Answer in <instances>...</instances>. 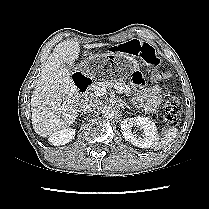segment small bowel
<instances>
[{
	"label": "small bowel",
	"mask_w": 209,
	"mask_h": 209,
	"mask_svg": "<svg viewBox=\"0 0 209 209\" xmlns=\"http://www.w3.org/2000/svg\"><path fill=\"white\" fill-rule=\"evenodd\" d=\"M128 81L131 86L140 88L145 85L147 76L144 71L135 69L130 72ZM161 103V91L158 85H153L150 88H142L135 97L137 107L144 108L146 111L153 113Z\"/></svg>",
	"instance_id": "c3829d8e"
}]
</instances>
